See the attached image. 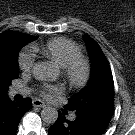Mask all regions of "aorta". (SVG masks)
Masks as SVG:
<instances>
[{
	"label": "aorta",
	"mask_w": 135,
	"mask_h": 135,
	"mask_svg": "<svg viewBox=\"0 0 135 135\" xmlns=\"http://www.w3.org/2000/svg\"><path fill=\"white\" fill-rule=\"evenodd\" d=\"M33 75L37 80H54L57 71L49 62H38L33 66ZM42 120L45 123L53 124L58 118V111L54 107H45L41 111Z\"/></svg>",
	"instance_id": "aorta-1"
}]
</instances>
